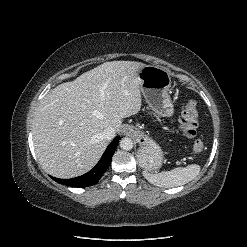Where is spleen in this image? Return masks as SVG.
<instances>
[{"mask_svg":"<svg viewBox=\"0 0 247 247\" xmlns=\"http://www.w3.org/2000/svg\"><path fill=\"white\" fill-rule=\"evenodd\" d=\"M198 164H191L186 167H177L170 171L149 174L146 173L147 180L159 187L173 188L184 185L195 179L200 173Z\"/></svg>","mask_w":247,"mask_h":247,"instance_id":"1","label":"spleen"}]
</instances>
